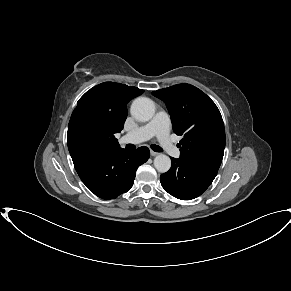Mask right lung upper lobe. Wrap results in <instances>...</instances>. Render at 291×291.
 <instances>
[{
  "label": "right lung upper lobe",
  "instance_id": "cb5924a9",
  "mask_svg": "<svg viewBox=\"0 0 291 291\" xmlns=\"http://www.w3.org/2000/svg\"><path fill=\"white\" fill-rule=\"evenodd\" d=\"M144 90L114 82H104L87 91L71 115L67 141L74 130L87 132L86 144L102 151L121 149L115 134L123 129L127 103Z\"/></svg>",
  "mask_w": 291,
  "mask_h": 291
}]
</instances>
